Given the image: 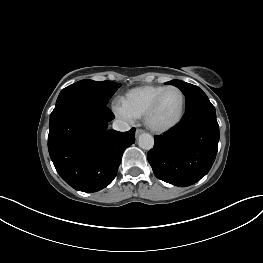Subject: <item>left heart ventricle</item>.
<instances>
[{"label": "left heart ventricle", "instance_id": "b2bd125f", "mask_svg": "<svg viewBox=\"0 0 263 263\" xmlns=\"http://www.w3.org/2000/svg\"><path fill=\"white\" fill-rule=\"evenodd\" d=\"M181 106V94L174 89L167 91L152 117V122L159 126L171 123L178 117Z\"/></svg>", "mask_w": 263, "mask_h": 263}]
</instances>
